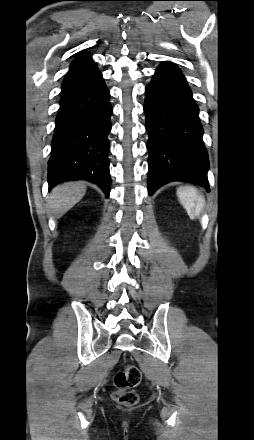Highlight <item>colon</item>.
Masks as SVG:
<instances>
[{
	"label": "colon",
	"instance_id": "obj_1",
	"mask_svg": "<svg viewBox=\"0 0 254 440\" xmlns=\"http://www.w3.org/2000/svg\"><path fill=\"white\" fill-rule=\"evenodd\" d=\"M141 380L140 370L127 365L118 371L114 376L115 390L112 394L113 399L125 406H134L139 402V395L133 390Z\"/></svg>",
	"mask_w": 254,
	"mask_h": 440
}]
</instances>
